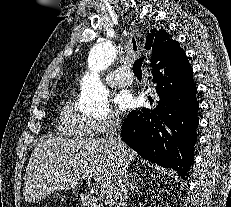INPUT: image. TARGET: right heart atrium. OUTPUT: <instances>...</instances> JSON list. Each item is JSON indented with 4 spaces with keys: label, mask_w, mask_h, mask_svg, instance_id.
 <instances>
[{
    "label": "right heart atrium",
    "mask_w": 231,
    "mask_h": 207,
    "mask_svg": "<svg viewBox=\"0 0 231 207\" xmlns=\"http://www.w3.org/2000/svg\"><path fill=\"white\" fill-rule=\"evenodd\" d=\"M120 124L118 113L111 111L105 116L91 119V131L93 134H101L118 128Z\"/></svg>",
    "instance_id": "obj_1"
}]
</instances>
